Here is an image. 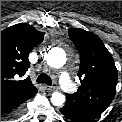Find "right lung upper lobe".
I'll list each match as a JSON object with an SVG mask.
<instances>
[{
	"label": "right lung upper lobe",
	"mask_w": 122,
	"mask_h": 122,
	"mask_svg": "<svg viewBox=\"0 0 122 122\" xmlns=\"http://www.w3.org/2000/svg\"><path fill=\"white\" fill-rule=\"evenodd\" d=\"M44 39V32L21 23L1 32V97L26 98L37 92L29 77L23 76L30 67L29 52Z\"/></svg>",
	"instance_id": "1"
}]
</instances>
